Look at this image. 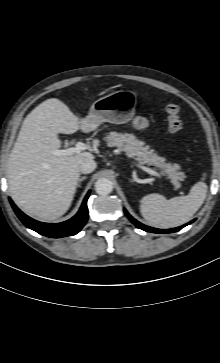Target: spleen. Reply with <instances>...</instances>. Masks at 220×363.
<instances>
[{
	"label": "spleen",
	"instance_id": "spleen-1",
	"mask_svg": "<svg viewBox=\"0 0 220 363\" xmlns=\"http://www.w3.org/2000/svg\"><path fill=\"white\" fill-rule=\"evenodd\" d=\"M204 179L197 182L187 196L167 200L163 195L153 193L143 197L140 201L142 216L150 225L158 228H172L186 223L206 198L208 186Z\"/></svg>",
	"mask_w": 220,
	"mask_h": 363
}]
</instances>
